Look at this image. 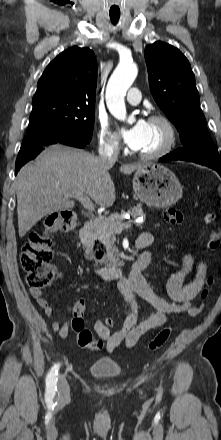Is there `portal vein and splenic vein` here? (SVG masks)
<instances>
[{
    "mask_svg": "<svg viewBox=\"0 0 221 440\" xmlns=\"http://www.w3.org/2000/svg\"><path fill=\"white\" fill-rule=\"evenodd\" d=\"M68 196L74 197L77 200H79L85 209H87L91 212L95 211V207H94L92 201L90 200V198L87 196V194L78 192L75 194H68ZM131 226H132V224L130 221L125 222V223H115L114 230H115V232H121L124 228H130Z\"/></svg>",
    "mask_w": 221,
    "mask_h": 440,
    "instance_id": "1",
    "label": "portal vein and splenic vein"
}]
</instances>
